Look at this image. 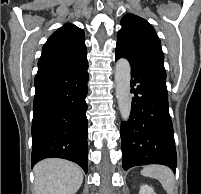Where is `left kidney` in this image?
I'll return each instance as SVG.
<instances>
[{
  "label": "left kidney",
  "instance_id": "1",
  "mask_svg": "<svg viewBox=\"0 0 201 194\" xmlns=\"http://www.w3.org/2000/svg\"><path fill=\"white\" fill-rule=\"evenodd\" d=\"M139 194H156L152 187L148 185H142Z\"/></svg>",
  "mask_w": 201,
  "mask_h": 194
}]
</instances>
